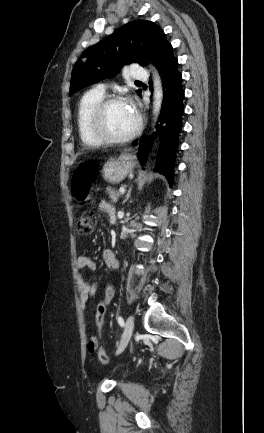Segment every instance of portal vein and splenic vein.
Here are the masks:
<instances>
[{"instance_id":"portal-vein-and-splenic-vein-1","label":"portal vein and splenic vein","mask_w":264,"mask_h":433,"mask_svg":"<svg viewBox=\"0 0 264 433\" xmlns=\"http://www.w3.org/2000/svg\"><path fill=\"white\" fill-rule=\"evenodd\" d=\"M125 191H126V190H125V188H123V187L119 189V192H120L121 194H124Z\"/></svg>"}]
</instances>
